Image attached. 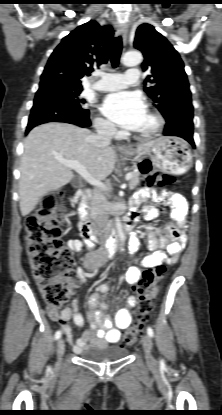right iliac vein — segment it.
<instances>
[{
    "mask_svg": "<svg viewBox=\"0 0 222 415\" xmlns=\"http://www.w3.org/2000/svg\"><path fill=\"white\" fill-rule=\"evenodd\" d=\"M65 351V343L64 340L62 338H59L57 341V356H58V361H61L62 356L64 354Z\"/></svg>",
    "mask_w": 222,
    "mask_h": 415,
    "instance_id": "obj_1",
    "label": "right iliac vein"
}]
</instances>
